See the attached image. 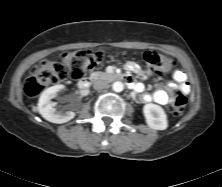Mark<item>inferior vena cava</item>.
I'll return each mask as SVG.
<instances>
[{
	"label": "inferior vena cava",
	"mask_w": 222,
	"mask_h": 187,
	"mask_svg": "<svg viewBox=\"0 0 222 187\" xmlns=\"http://www.w3.org/2000/svg\"><path fill=\"white\" fill-rule=\"evenodd\" d=\"M108 87V82L103 79H98L94 83V89L102 90Z\"/></svg>",
	"instance_id": "obj_1"
}]
</instances>
